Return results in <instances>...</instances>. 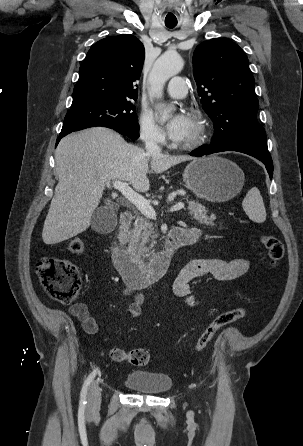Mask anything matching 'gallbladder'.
Here are the masks:
<instances>
[{"label":"gallbladder","mask_w":303,"mask_h":446,"mask_svg":"<svg viewBox=\"0 0 303 446\" xmlns=\"http://www.w3.org/2000/svg\"><path fill=\"white\" fill-rule=\"evenodd\" d=\"M116 216L113 211L104 208L97 209L92 215V229L97 232H106L113 228Z\"/></svg>","instance_id":"bac80fb5"}]
</instances>
